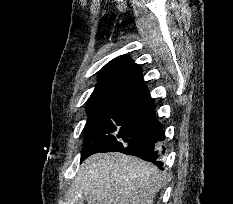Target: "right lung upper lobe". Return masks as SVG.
Listing matches in <instances>:
<instances>
[{
	"label": "right lung upper lobe",
	"instance_id": "1",
	"mask_svg": "<svg viewBox=\"0 0 233 204\" xmlns=\"http://www.w3.org/2000/svg\"><path fill=\"white\" fill-rule=\"evenodd\" d=\"M131 102H150L149 92L144 87L142 70L122 55L102 68L98 84L87 101V113L92 115L109 106Z\"/></svg>",
	"mask_w": 233,
	"mask_h": 204
}]
</instances>
